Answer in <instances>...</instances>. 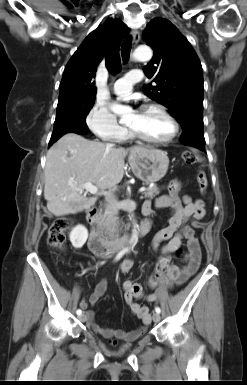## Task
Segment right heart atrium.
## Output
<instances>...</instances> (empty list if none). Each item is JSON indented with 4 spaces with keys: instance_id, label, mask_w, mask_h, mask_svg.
Here are the masks:
<instances>
[{
    "instance_id": "obj_1",
    "label": "right heart atrium",
    "mask_w": 247,
    "mask_h": 385,
    "mask_svg": "<svg viewBox=\"0 0 247 385\" xmlns=\"http://www.w3.org/2000/svg\"><path fill=\"white\" fill-rule=\"evenodd\" d=\"M86 123L97 137L106 141H120L127 133L126 128L117 122L108 107L99 102L94 103L89 110Z\"/></svg>"
}]
</instances>
